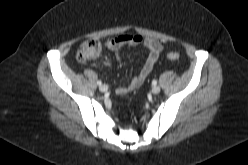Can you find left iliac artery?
I'll return each instance as SVG.
<instances>
[{"label": "left iliac artery", "instance_id": "1", "mask_svg": "<svg viewBox=\"0 0 248 165\" xmlns=\"http://www.w3.org/2000/svg\"><path fill=\"white\" fill-rule=\"evenodd\" d=\"M152 84H153V85H156V84H157V81H156V80H153V81H152Z\"/></svg>", "mask_w": 248, "mask_h": 165}]
</instances>
